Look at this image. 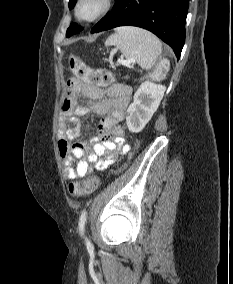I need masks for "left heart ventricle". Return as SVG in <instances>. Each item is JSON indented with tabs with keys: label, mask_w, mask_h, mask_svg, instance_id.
<instances>
[{
	"label": "left heart ventricle",
	"mask_w": 233,
	"mask_h": 284,
	"mask_svg": "<svg viewBox=\"0 0 233 284\" xmlns=\"http://www.w3.org/2000/svg\"><path fill=\"white\" fill-rule=\"evenodd\" d=\"M99 7L97 0H87L81 6L80 12L83 16H91L93 15Z\"/></svg>",
	"instance_id": "obj_1"
}]
</instances>
